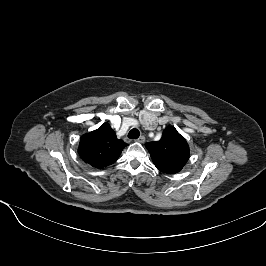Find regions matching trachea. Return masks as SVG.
Wrapping results in <instances>:
<instances>
[{"instance_id": "trachea-1", "label": "trachea", "mask_w": 266, "mask_h": 266, "mask_svg": "<svg viewBox=\"0 0 266 266\" xmlns=\"http://www.w3.org/2000/svg\"><path fill=\"white\" fill-rule=\"evenodd\" d=\"M140 136V132L138 131V129L133 128L129 133H128V137L130 139H137Z\"/></svg>"}]
</instances>
